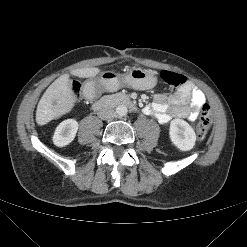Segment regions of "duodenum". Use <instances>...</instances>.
Masks as SVG:
<instances>
[{"instance_id":"duodenum-1","label":"duodenum","mask_w":247,"mask_h":247,"mask_svg":"<svg viewBox=\"0 0 247 247\" xmlns=\"http://www.w3.org/2000/svg\"><path fill=\"white\" fill-rule=\"evenodd\" d=\"M93 106L97 110L109 109L115 106H126L133 111L138 110V106L127 95L121 93L108 95L97 99L93 102Z\"/></svg>"}]
</instances>
